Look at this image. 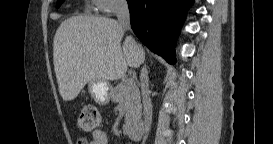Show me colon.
<instances>
[{
  "label": "colon",
  "instance_id": "1",
  "mask_svg": "<svg viewBox=\"0 0 273 144\" xmlns=\"http://www.w3.org/2000/svg\"><path fill=\"white\" fill-rule=\"evenodd\" d=\"M101 125V116L94 105H84L77 118V128L83 133H93Z\"/></svg>",
  "mask_w": 273,
  "mask_h": 144
}]
</instances>
